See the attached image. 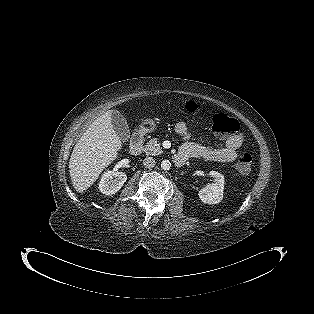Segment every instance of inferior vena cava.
<instances>
[{"mask_svg": "<svg viewBox=\"0 0 314 314\" xmlns=\"http://www.w3.org/2000/svg\"><path fill=\"white\" fill-rule=\"evenodd\" d=\"M143 165L146 167V168H153L155 166V160L153 157H146L144 160H143Z\"/></svg>", "mask_w": 314, "mask_h": 314, "instance_id": "602c4592", "label": "inferior vena cava"}]
</instances>
